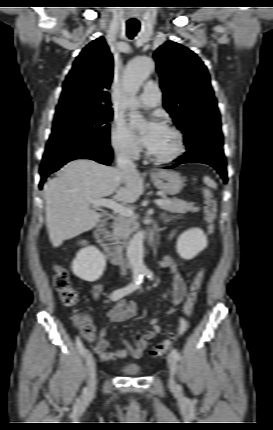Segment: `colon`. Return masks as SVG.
<instances>
[{"label":"colon","instance_id":"obj_1","mask_svg":"<svg viewBox=\"0 0 273 430\" xmlns=\"http://www.w3.org/2000/svg\"><path fill=\"white\" fill-rule=\"evenodd\" d=\"M204 203L203 213L204 219L207 223L209 232L213 230V222L216 217L217 204L216 200L210 189L204 188ZM205 271L200 269L195 275L187 296V300L183 307V312L187 317H190L193 313V309L197 300L198 293L203 283ZM54 286L59 292L62 302L65 306H74L79 301L78 291L72 286L70 278L64 267L57 265L55 267ZM74 323L77 329L82 333L86 339H91L94 336L95 328L90 318L85 314H75ZM186 325H180L179 332L184 330ZM178 338L177 333H171L168 337L157 343L151 350L150 354L153 357H160L167 353L174 345Z\"/></svg>","mask_w":273,"mask_h":430}]
</instances>
